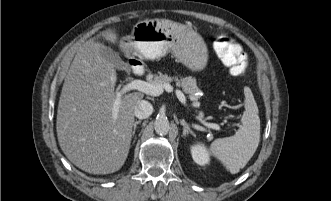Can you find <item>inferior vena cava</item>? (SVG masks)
<instances>
[{"label": "inferior vena cava", "instance_id": "obj_1", "mask_svg": "<svg viewBox=\"0 0 331 201\" xmlns=\"http://www.w3.org/2000/svg\"><path fill=\"white\" fill-rule=\"evenodd\" d=\"M152 112L153 106L146 100L139 101L134 109V114L138 119L148 118Z\"/></svg>", "mask_w": 331, "mask_h": 201}]
</instances>
